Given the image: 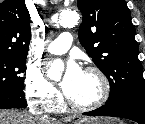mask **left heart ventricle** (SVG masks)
Segmentation results:
<instances>
[{
	"label": "left heart ventricle",
	"instance_id": "obj_1",
	"mask_svg": "<svg viewBox=\"0 0 145 124\" xmlns=\"http://www.w3.org/2000/svg\"><path fill=\"white\" fill-rule=\"evenodd\" d=\"M100 83L94 74L82 72L73 91L67 95L75 104L84 105L95 101L100 95Z\"/></svg>",
	"mask_w": 145,
	"mask_h": 124
}]
</instances>
